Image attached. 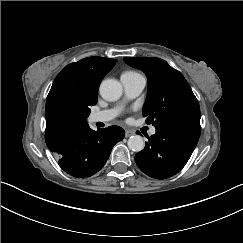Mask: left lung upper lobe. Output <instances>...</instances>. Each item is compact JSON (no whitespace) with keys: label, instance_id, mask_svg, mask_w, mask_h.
<instances>
[{"label":"left lung upper lobe","instance_id":"left-lung-upper-lobe-1","mask_svg":"<svg viewBox=\"0 0 243 243\" xmlns=\"http://www.w3.org/2000/svg\"><path fill=\"white\" fill-rule=\"evenodd\" d=\"M124 61L147 76L148 95L143 114L148 124L155 128L173 123L200 126L198 100L178 70L160 58L125 57Z\"/></svg>","mask_w":243,"mask_h":243}]
</instances>
